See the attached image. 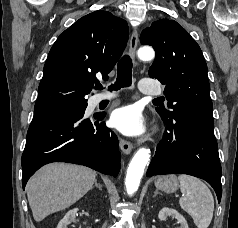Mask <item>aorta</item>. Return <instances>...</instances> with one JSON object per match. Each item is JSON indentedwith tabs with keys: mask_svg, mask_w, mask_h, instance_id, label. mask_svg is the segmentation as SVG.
Wrapping results in <instances>:
<instances>
[{
	"mask_svg": "<svg viewBox=\"0 0 238 228\" xmlns=\"http://www.w3.org/2000/svg\"><path fill=\"white\" fill-rule=\"evenodd\" d=\"M138 57L142 61H151L155 57V52L149 46L141 47L138 50ZM150 157V149L142 147L138 149L130 161L125 179L128 195H133L138 190L141 178L144 174V169L148 164Z\"/></svg>",
	"mask_w": 238,
	"mask_h": 228,
	"instance_id": "1",
	"label": "aorta"
}]
</instances>
